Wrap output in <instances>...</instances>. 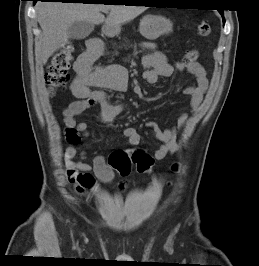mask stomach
<instances>
[{"label":"stomach","instance_id":"1","mask_svg":"<svg viewBox=\"0 0 259 266\" xmlns=\"http://www.w3.org/2000/svg\"><path fill=\"white\" fill-rule=\"evenodd\" d=\"M140 33L148 40H155L162 35L172 31L170 20L162 16L147 15L140 22ZM107 32L110 35H116L120 32V27L109 28Z\"/></svg>","mask_w":259,"mask_h":266}]
</instances>
